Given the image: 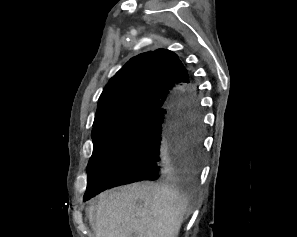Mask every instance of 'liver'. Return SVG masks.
<instances>
[{
	"mask_svg": "<svg viewBox=\"0 0 297 237\" xmlns=\"http://www.w3.org/2000/svg\"><path fill=\"white\" fill-rule=\"evenodd\" d=\"M191 213L190 199L174 185L150 182L107 190L88 209L95 237H177Z\"/></svg>",
	"mask_w": 297,
	"mask_h": 237,
	"instance_id": "1",
	"label": "liver"
}]
</instances>
